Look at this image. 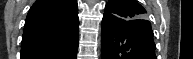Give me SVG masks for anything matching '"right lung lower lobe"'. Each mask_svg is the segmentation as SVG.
<instances>
[{
    "label": "right lung lower lobe",
    "mask_w": 193,
    "mask_h": 59,
    "mask_svg": "<svg viewBox=\"0 0 193 59\" xmlns=\"http://www.w3.org/2000/svg\"><path fill=\"white\" fill-rule=\"evenodd\" d=\"M78 38L79 35L49 52L22 54L20 59H76Z\"/></svg>",
    "instance_id": "obj_1"
}]
</instances>
